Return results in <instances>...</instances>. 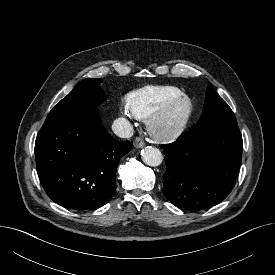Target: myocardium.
<instances>
[{"label":"myocardium","mask_w":275,"mask_h":275,"mask_svg":"<svg viewBox=\"0 0 275 275\" xmlns=\"http://www.w3.org/2000/svg\"><path fill=\"white\" fill-rule=\"evenodd\" d=\"M180 114L174 122H168V116L176 109ZM193 113V101L187 94L181 93L152 112L146 120L150 135L159 140H170L181 135L190 123Z\"/></svg>","instance_id":"obj_1"}]
</instances>
